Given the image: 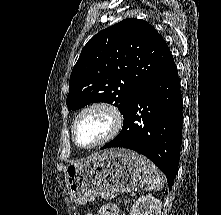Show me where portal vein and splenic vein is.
I'll use <instances>...</instances> for the list:
<instances>
[{
  "mask_svg": "<svg viewBox=\"0 0 221 215\" xmlns=\"http://www.w3.org/2000/svg\"><path fill=\"white\" fill-rule=\"evenodd\" d=\"M136 195V193L135 192H132V196H135Z\"/></svg>",
  "mask_w": 221,
  "mask_h": 215,
  "instance_id": "portal-vein-and-splenic-vein-1",
  "label": "portal vein and splenic vein"
}]
</instances>
